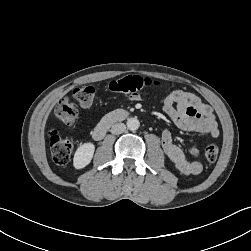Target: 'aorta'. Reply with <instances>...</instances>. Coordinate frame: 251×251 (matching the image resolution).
Returning a JSON list of instances; mask_svg holds the SVG:
<instances>
[{
  "instance_id": "1",
  "label": "aorta",
  "mask_w": 251,
  "mask_h": 251,
  "mask_svg": "<svg viewBox=\"0 0 251 251\" xmlns=\"http://www.w3.org/2000/svg\"><path fill=\"white\" fill-rule=\"evenodd\" d=\"M140 127V122L137 118L132 117L127 120V128L131 131H135Z\"/></svg>"
}]
</instances>
